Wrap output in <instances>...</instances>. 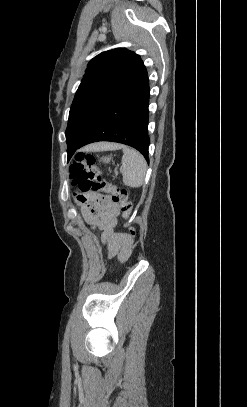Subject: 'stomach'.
Returning <instances> with one entry per match:
<instances>
[{
	"mask_svg": "<svg viewBox=\"0 0 247 407\" xmlns=\"http://www.w3.org/2000/svg\"><path fill=\"white\" fill-rule=\"evenodd\" d=\"M110 160H111V157H102L101 158V161L104 162V163H109Z\"/></svg>",
	"mask_w": 247,
	"mask_h": 407,
	"instance_id": "0dacf381",
	"label": "stomach"
}]
</instances>
